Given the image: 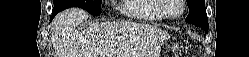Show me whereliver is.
<instances>
[{
    "label": "liver",
    "mask_w": 249,
    "mask_h": 57,
    "mask_svg": "<svg viewBox=\"0 0 249 57\" xmlns=\"http://www.w3.org/2000/svg\"><path fill=\"white\" fill-rule=\"evenodd\" d=\"M88 18L79 8L60 12L53 21L52 40L58 57H159L164 32L131 22H95L76 27Z\"/></svg>",
    "instance_id": "obj_1"
}]
</instances>
